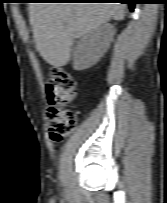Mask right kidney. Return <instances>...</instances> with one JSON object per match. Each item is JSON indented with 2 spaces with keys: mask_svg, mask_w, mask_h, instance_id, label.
<instances>
[{
  "mask_svg": "<svg viewBox=\"0 0 167 203\" xmlns=\"http://www.w3.org/2000/svg\"><path fill=\"white\" fill-rule=\"evenodd\" d=\"M115 34L114 26L106 23L86 33L78 42L73 55V68H90L109 48Z\"/></svg>",
  "mask_w": 167,
  "mask_h": 203,
  "instance_id": "ca27d5eb",
  "label": "right kidney"
}]
</instances>
